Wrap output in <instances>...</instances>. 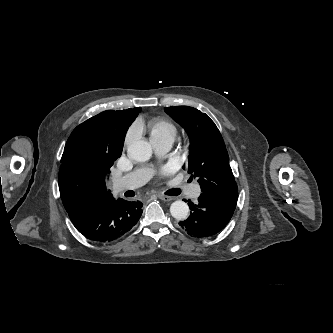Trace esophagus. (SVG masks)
Here are the masks:
<instances>
[{"instance_id":"1","label":"esophagus","mask_w":333,"mask_h":333,"mask_svg":"<svg viewBox=\"0 0 333 333\" xmlns=\"http://www.w3.org/2000/svg\"><path fill=\"white\" fill-rule=\"evenodd\" d=\"M158 197H159V199H161L164 202H168V201L173 200V197L167 196V195H163V194H159Z\"/></svg>"}]
</instances>
